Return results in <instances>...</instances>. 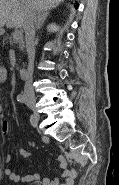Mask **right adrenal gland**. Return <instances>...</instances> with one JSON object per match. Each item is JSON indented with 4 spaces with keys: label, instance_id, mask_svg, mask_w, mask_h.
Wrapping results in <instances>:
<instances>
[{
    "label": "right adrenal gland",
    "instance_id": "right-adrenal-gland-1",
    "mask_svg": "<svg viewBox=\"0 0 119 185\" xmlns=\"http://www.w3.org/2000/svg\"><path fill=\"white\" fill-rule=\"evenodd\" d=\"M49 12L46 10H38L36 12L35 26L36 30H39L44 21L46 20Z\"/></svg>",
    "mask_w": 119,
    "mask_h": 185
}]
</instances>
